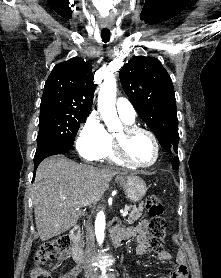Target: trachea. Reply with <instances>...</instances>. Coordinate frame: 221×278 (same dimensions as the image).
Returning <instances> with one entry per match:
<instances>
[{
  "label": "trachea",
  "instance_id": "1",
  "mask_svg": "<svg viewBox=\"0 0 221 278\" xmlns=\"http://www.w3.org/2000/svg\"><path fill=\"white\" fill-rule=\"evenodd\" d=\"M101 38L104 43H107L110 40V31L109 30H102L101 31Z\"/></svg>",
  "mask_w": 221,
  "mask_h": 278
}]
</instances>
